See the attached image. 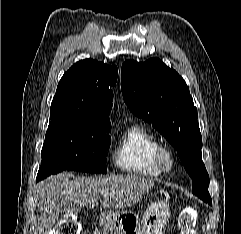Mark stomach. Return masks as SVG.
<instances>
[{"instance_id":"0dacf381","label":"stomach","mask_w":241,"mask_h":234,"mask_svg":"<svg viewBox=\"0 0 241 234\" xmlns=\"http://www.w3.org/2000/svg\"><path fill=\"white\" fill-rule=\"evenodd\" d=\"M170 216L167 202L152 203L139 219L131 211H122L104 216L118 230V234H164V226Z\"/></svg>"}]
</instances>
